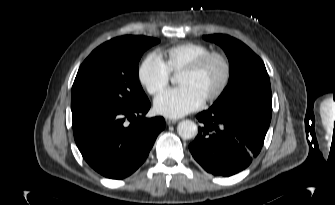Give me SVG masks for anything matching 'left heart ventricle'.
I'll return each mask as SVG.
<instances>
[{
  "label": "left heart ventricle",
  "instance_id": "obj_1",
  "mask_svg": "<svg viewBox=\"0 0 335 205\" xmlns=\"http://www.w3.org/2000/svg\"><path fill=\"white\" fill-rule=\"evenodd\" d=\"M224 73L222 63L211 60L206 67L198 74H180L178 84L180 87H190L194 89L203 99L211 95L218 88Z\"/></svg>",
  "mask_w": 335,
  "mask_h": 205
}]
</instances>
